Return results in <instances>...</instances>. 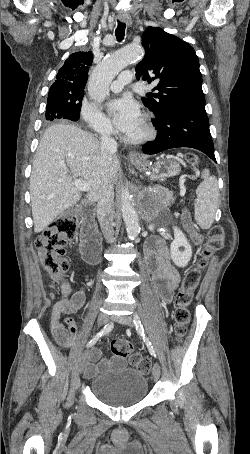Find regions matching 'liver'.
<instances>
[{"label": "liver", "mask_w": 250, "mask_h": 454, "mask_svg": "<svg viewBox=\"0 0 250 454\" xmlns=\"http://www.w3.org/2000/svg\"><path fill=\"white\" fill-rule=\"evenodd\" d=\"M120 163L113 155L102 161L99 141L90 133L69 124H55L43 134L30 177V195L35 233H40L63 211L81 199L73 185L80 177L89 184L86 198L97 202L105 176L113 184Z\"/></svg>", "instance_id": "6515ba94"}]
</instances>
